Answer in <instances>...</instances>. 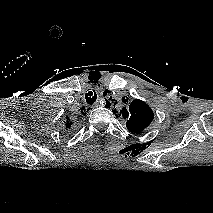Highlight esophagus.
Segmentation results:
<instances>
[{
    "label": "esophagus",
    "instance_id": "1",
    "mask_svg": "<svg viewBox=\"0 0 213 213\" xmlns=\"http://www.w3.org/2000/svg\"><path fill=\"white\" fill-rule=\"evenodd\" d=\"M99 106V104L98 103H96L95 105H94V107H98Z\"/></svg>",
    "mask_w": 213,
    "mask_h": 213
}]
</instances>
